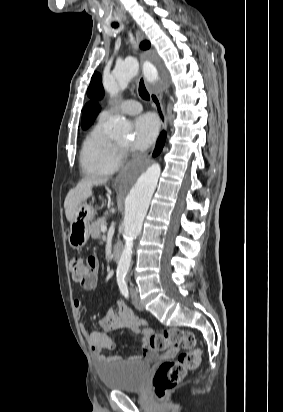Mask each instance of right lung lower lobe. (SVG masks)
<instances>
[{"label": "right lung lower lobe", "instance_id": "98d812e1", "mask_svg": "<svg viewBox=\"0 0 283 412\" xmlns=\"http://www.w3.org/2000/svg\"><path fill=\"white\" fill-rule=\"evenodd\" d=\"M165 140H166V132H162L159 139H158V141H157V145H156V148L154 150L153 156H157L161 152V150H162V148L165 144Z\"/></svg>", "mask_w": 283, "mask_h": 412}]
</instances>
